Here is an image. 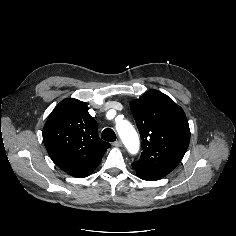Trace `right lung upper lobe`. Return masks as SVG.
<instances>
[{
    "label": "right lung upper lobe",
    "instance_id": "cb5924a9",
    "mask_svg": "<svg viewBox=\"0 0 236 236\" xmlns=\"http://www.w3.org/2000/svg\"><path fill=\"white\" fill-rule=\"evenodd\" d=\"M87 110L85 102L64 99L54 108L42 132L52 161L76 178L93 172L111 146L99 138L97 122Z\"/></svg>",
    "mask_w": 236,
    "mask_h": 236
}]
</instances>
